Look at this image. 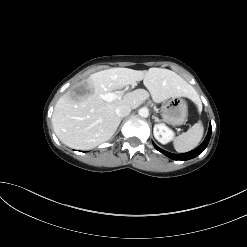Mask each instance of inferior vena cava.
Masks as SVG:
<instances>
[{
    "label": "inferior vena cava",
    "instance_id": "inferior-vena-cava-1",
    "mask_svg": "<svg viewBox=\"0 0 247 247\" xmlns=\"http://www.w3.org/2000/svg\"><path fill=\"white\" fill-rule=\"evenodd\" d=\"M115 112L118 117H125L130 114L131 107L127 104H121L116 108Z\"/></svg>",
    "mask_w": 247,
    "mask_h": 247
}]
</instances>
